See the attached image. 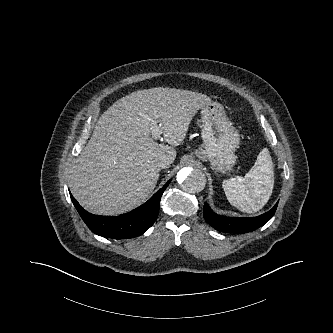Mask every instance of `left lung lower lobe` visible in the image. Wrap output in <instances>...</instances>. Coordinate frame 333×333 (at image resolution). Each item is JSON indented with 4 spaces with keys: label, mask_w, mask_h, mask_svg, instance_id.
Segmentation results:
<instances>
[{
    "label": "left lung lower lobe",
    "mask_w": 333,
    "mask_h": 333,
    "mask_svg": "<svg viewBox=\"0 0 333 333\" xmlns=\"http://www.w3.org/2000/svg\"><path fill=\"white\" fill-rule=\"evenodd\" d=\"M278 203L268 212L253 218L225 217L214 213L207 203L204 204L203 216L205 220L220 232L236 234L254 231L266 224L274 215Z\"/></svg>",
    "instance_id": "obj_1"
}]
</instances>
